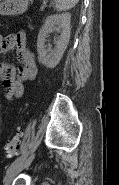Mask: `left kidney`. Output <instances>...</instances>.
<instances>
[{"instance_id": "1", "label": "left kidney", "mask_w": 119, "mask_h": 185, "mask_svg": "<svg viewBox=\"0 0 119 185\" xmlns=\"http://www.w3.org/2000/svg\"><path fill=\"white\" fill-rule=\"evenodd\" d=\"M70 13L49 15L42 26L37 39L38 61L47 68H55L60 62L70 39ZM61 29V35L56 38V48L48 52L45 49V41L49 33L55 29Z\"/></svg>"}]
</instances>
